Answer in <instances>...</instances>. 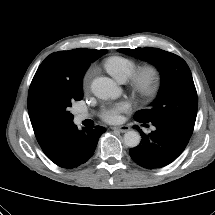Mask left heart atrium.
<instances>
[{
  "label": "left heart atrium",
  "instance_id": "obj_1",
  "mask_svg": "<svg viewBox=\"0 0 215 215\" xmlns=\"http://www.w3.org/2000/svg\"><path fill=\"white\" fill-rule=\"evenodd\" d=\"M129 108L128 103L119 102L114 105L108 106L102 111V119L109 123H115L119 121L120 114Z\"/></svg>",
  "mask_w": 215,
  "mask_h": 215
}]
</instances>
